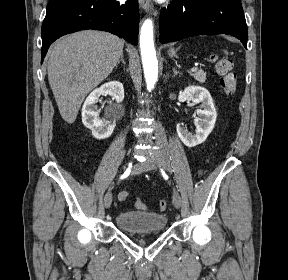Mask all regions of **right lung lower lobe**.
Listing matches in <instances>:
<instances>
[{"label":"right lung lower lobe","mask_w":288,"mask_h":280,"mask_svg":"<svg viewBox=\"0 0 288 280\" xmlns=\"http://www.w3.org/2000/svg\"><path fill=\"white\" fill-rule=\"evenodd\" d=\"M137 0H50L42 25L41 62L59 37L84 29L116 34L138 43Z\"/></svg>","instance_id":"obj_1"}]
</instances>
